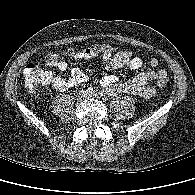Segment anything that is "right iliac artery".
<instances>
[{
	"mask_svg": "<svg viewBox=\"0 0 195 195\" xmlns=\"http://www.w3.org/2000/svg\"><path fill=\"white\" fill-rule=\"evenodd\" d=\"M87 92H88V93H91V92H94V90H93L92 87H89V88L87 89Z\"/></svg>",
	"mask_w": 195,
	"mask_h": 195,
	"instance_id": "82829eb1",
	"label": "right iliac artery"
}]
</instances>
